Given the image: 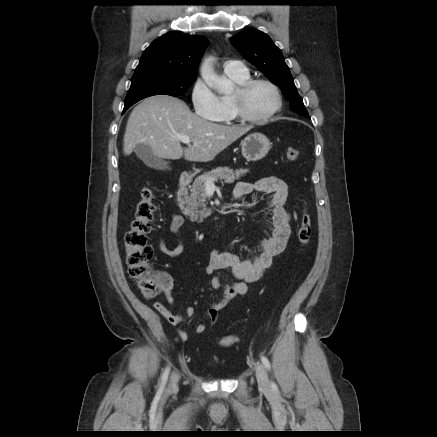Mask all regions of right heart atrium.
Instances as JSON below:
<instances>
[{
	"mask_svg": "<svg viewBox=\"0 0 437 437\" xmlns=\"http://www.w3.org/2000/svg\"><path fill=\"white\" fill-rule=\"evenodd\" d=\"M191 103L194 112L204 119L216 121L222 114L220 97L201 79L192 87Z\"/></svg>",
	"mask_w": 437,
	"mask_h": 437,
	"instance_id": "d8ad5b80",
	"label": "right heart atrium"
}]
</instances>
